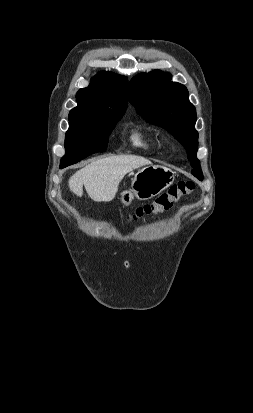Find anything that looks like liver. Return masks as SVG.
I'll return each mask as SVG.
<instances>
[{"mask_svg": "<svg viewBox=\"0 0 253 413\" xmlns=\"http://www.w3.org/2000/svg\"><path fill=\"white\" fill-rule=\"evenodd\" d=\"M152 165L151 161L140 156H110L92 161L78 170L68 181L70 190L81 197L83 186L89 197L96 202L111 201L118 185L130 171Z\"/></svg>", "mask_w": 253, "mask_h": 413, "instance_id": "liver-1", "label": "liver"}]
</instances>
